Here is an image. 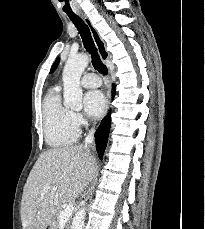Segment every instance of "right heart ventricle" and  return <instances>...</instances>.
<instances>
[{"label": "right heart ventricle", "instance_id": "right-heart-ventricle-1", "mask_svg": "<svg viewBox=\"0 0 205 229\" xmlns=\"http://www.w3.org/2000/svg\"><path fill=\"white\" fill-rule=\"evenodd\" d=\"M73 112L62 104L58 92H49L43 101V131L47 144L62 148L73 144L79 129L73 121Z\"/></svg>", "mask_w": 205, "mask_h": 229}]
</instances>
